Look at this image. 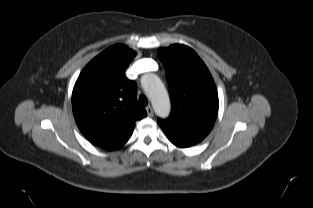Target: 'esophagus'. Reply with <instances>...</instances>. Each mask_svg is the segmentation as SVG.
<instances>
[{
	"label": "esophagus",
	"mask_w": 313,
	"mask_h": 208,
	"mask_svg": "<svg viewBox=\"0 0 313 208\" xmlns=\"http://www.w3.org/2000/svg\"><path fill=\"white\" fill-rule=\"evenodd\" d=\"M146 112H147V114H148L149 117H152V116L154 115L153 109H152L151 106H147V107H146Z\"/></svg>",
	"instance_id": "1"
}]
</instances>
